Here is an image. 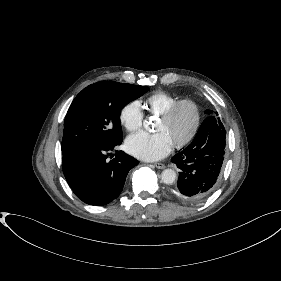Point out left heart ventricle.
Segmentation results:
<instances>
[{
  "label": "left heart ventricle",
  "mask_w": 281,
  "mask_h": 281,
  "mask_svg": "<svg viewBox=\"0 0 281 281\" xmlns=\"http://www.w3.org/2000/svg\"><path fill=\"white\" fill-rule=\"evenodd\" d=\"M194 114L189 106L181 107L169 120L157 119L155 130L163 132L172 144L188 135L192 129Z\"/></svg>",
  "instance_id": "left-heart-ventricle-1"
}]
</instances>
